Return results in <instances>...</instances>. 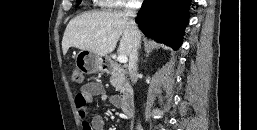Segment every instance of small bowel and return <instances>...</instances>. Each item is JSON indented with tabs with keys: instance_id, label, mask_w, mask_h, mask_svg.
<instances>
[{
	"instance_id": "obj_1",
	"label": "small bowel",
	"mask_w": 257,
	"mask_h": 130,
	"mask_svg": "<svg viewBox=\"0 0 257 130\" xmlns=\"http://www.w3.org/2000/svg\"><path fill=\"white\" fill-rule=\"evenodd\" d=\"M94 96H99L102 101L109 100L118 106L120 99L117 96H109L102 84L90 82L84 85L75 96L77 112L82 119V130H104L105 120L102 114L95 115L91 120L87 119L88 104Z\"/></svg>"
}]
</instances>
